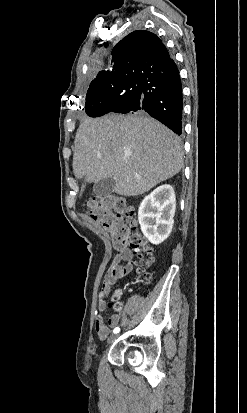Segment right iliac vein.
Listing matches in <instances>:
<instances>
[{
	"instance_id": "1",
	"label": "right iliac vein",
	"mask_w": 247,
	"mask_h": 413,
	"mask_svg": "<svg viewBox=\"0 0 247 413\" xmlns=\"http://www.w3.org/2000/svg\"><path fill=\"white\" fill-rule=\"evenodd\" d=\"M117 337H118V335H112V336H110V338H109V343L114 342Z\"/></svg>"
}]
</instances>
